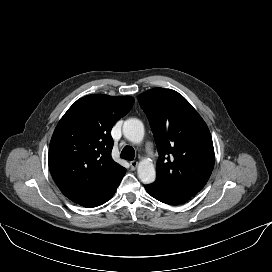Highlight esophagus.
Returning <instances> with one entry per match:
<instances>
[{
  "label": "esophagus",
  "instance_id": "esophagus-1",
  "mask_svg": "<svg viewBox=\"0 0 272 272\" xmlns=\"http://www.w3.org/2000/svg\"><path fill=\"white\" fill-rule=\"evenodd\" d=\"M138 166V162L137 161H131L130 162V167L132 170H135Z\"/></svg>",
  "mask_w": 272,
  "mask_h": 272
}]
</instances>
